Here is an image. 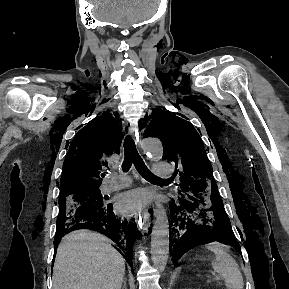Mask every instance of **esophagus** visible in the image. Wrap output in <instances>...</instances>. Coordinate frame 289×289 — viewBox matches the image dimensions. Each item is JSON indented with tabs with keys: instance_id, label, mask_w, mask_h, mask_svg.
<instances>
[{
	"instance_id": "34e87169",
	"label": "esophagus",
	"mask_w": 289,
	"mask_h": 289,
	"mask_svg": "<svg viewBox=\"0 0 289 289\" xmlns=\"http://www.w3.org/2000/svg\"><path fill=\"white\" fill-rule=\"evenodd\" d=\"M133 138L135 139L137 146L140 147L139 133L133 134ZM136 220L138 221L140 228H142L145 233H148L150 229V213L148 207L142 209L141 214L136 218Z\"/></svg>"
}]
</instances>
